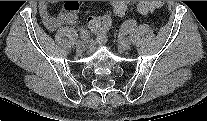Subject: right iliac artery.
Listing matches in <instances>:
<instances>
[{
  "instance_id": "82829eb1",
  "label": "right iliac artery",
  "mask_w": 207,
  "mask_h": 121,
  "mask_svg": "<svg viewBox=\"0 0 207 121\" xmlns=\"http://www.w3.org/2000/svg\"><path fill=\"white\" fill-rule=\"evenodd\" d=\"M80 36H81V39L85 42H87L89 40V34H88L87 30H85L84 28L81 29Z\"/></svg>"
}]
</instances>
